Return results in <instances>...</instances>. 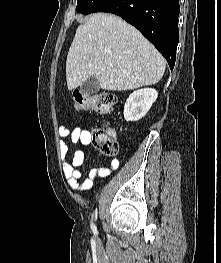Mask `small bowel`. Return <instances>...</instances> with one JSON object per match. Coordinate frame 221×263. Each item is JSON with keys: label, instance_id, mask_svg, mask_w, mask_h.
I'll use <instances>...</instances> for the list:
<instances>
[{"label": "small bowel", "instance_id": "c3829d8e", "mask_svg": "<svg viewBox=\"0 0 221 263\" xmlns=\"http://www.w3.org/2000/svg\"><path fill=\"white\" fill-rule=\"evenodd\" d=\"M59 148L63 156V171L69 186L76 191H86L93 185L97 177H108L112 170L119 167V161L112 159L109 167H96L92 168L87 176L82 180V173L78 170L85 159V154L82 150H75L71 158H68L69 147L66 139L69 138L73 144H80L88 146L91 144V133L80 127L70 129L68 127L59 128Z\"/></svg>", "mask_w": 221, "mask_h": 263}]
</instances>
